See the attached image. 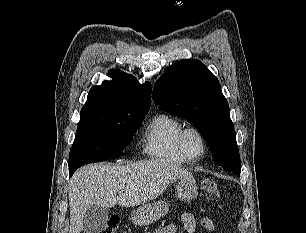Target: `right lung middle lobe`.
Instances as JSON below:
<instances>
[{
  "label": "right lung middle lobe",
  "instance_id": "right-lung-middle-lobe-1",
  "mask_svg": "<svg viewBox=\"0 0 306 233\" xmlns=\"http://www.w3.org/2000/svg\"><path fill=\"white\" fill-rule=\"evenodd\" d=\"M146 114L81 110L77 134L69 154V171L122 155Z\"/></svg>",
  "mask_w": 306,
  "mask_h": 233
}]
</instances>
